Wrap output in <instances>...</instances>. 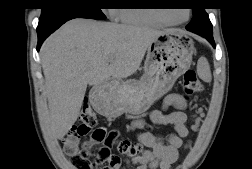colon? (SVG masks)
Here are the masks:
<instances>
[{"instance_id": "1", "label": "colon", "mask_w": 252, "mask_h": 169, "mask_svg": "<svg viewBox=\"0 0 252 169\" xmlns=\"http://www.w3.org/2000/svg\"><path fill=\"white\" fill-rule=\"evenodd\" d=\"M183 90L185 95L200 93L203 85L194 69H188L183 75ZM97 122L92 108L85 104L80 112L79 124L63 139L66 152L75 169H114L121 157L138 158L142 153V146L125 138L118 130L98 128L93 135L101 144L94 148L89 142H80V138L90 132ZM115 147L118 154L112 152Z\"/></svg>"}]
</instances>
